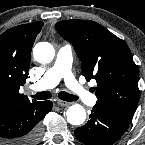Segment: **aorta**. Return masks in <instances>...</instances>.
I'll use <instances>...</instances> for the list:
<instances>
[{
    "label": "aorta",
    "instance_id": "762f6f07",
    "mask_svg": "<svg viewBox=\"0 0 145 145\" xmlns=\"http://www.w3.org/2000/svg\"><path fill=\"white\" fill-rule=\"evenodd\" d=\"M34 59L41 64H48L54 60L55 50L48 42H40L33 49ZM67 121L71 125L79 126L86 120V111L79 104L71 105L66 111Z\"/></svg>",
    "mask_w": 145,
    "mask_h": 145
}]
</instances>
